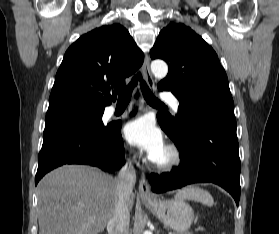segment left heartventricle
I'll return each mask as SVG.
<instances>
[{"mask_svg":"<svg viewBox=\"0 0 279 234\" xmlns=\"http://www.w3.org/2000/svg\"><path fill=\"white\" fill-rule=\"evenodd\" d=\"M164 156H165V151H163L162 154L156 160H161L164 158Z\"/></svg>","mask_w":279,"mask_h":234,"instance_id":"obj_1","label":"left heart ventricle"}]
</instances>
